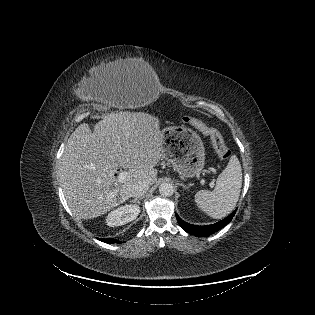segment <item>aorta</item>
Segmentation results:
<instances>
[{
  "instance_id": "762f6f07",
  "label": "aorta",
  "mask_w": 315,
  "mask_h": 315,
  "mask_svg": "<svg viewBox=\"0 0 315 315\" xmlns=\"http://www.w3.org/2000/svg\"><path fill=\"white\" fill-rule=\"evenodd\" d=\"M159 192L162 196H171L174 192V187L170 183H162L159 186Z\"/></svg>"
}]
</instances>
